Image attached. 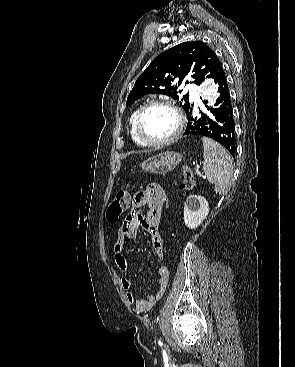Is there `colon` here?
Returning <instances> with one entry per match:
<instances>
[{
    "instance_id": "colon-1",
    "label": "colon",
    "mask_w": 295,
    "mask_h": 367,
    "mask_svg": "<svg viewBox=\"0 0 295 367\" xmlns=\"http://www.w3.org/2000/svg\"><path fill=\"white\" fill-rule=\"evenodd\" d=\"M183 180L180 184L182 190H191L194 186L193 173L188 167H184L182 170ZM169 195L163 196V211L169 212L170 201ZM130 205V194L126 190H120L116 193L112 203L110 204L107 211V219L110 223L114 224L117 222L119 217L128 209Z\"/></svg>"
}]
</instances>
